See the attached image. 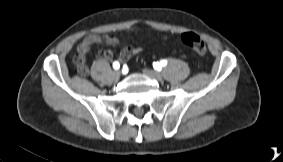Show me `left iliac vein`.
<instances>
[{
	"instance_id": "obj_1",
	"label": "left iliac vein",
	"mask_w": 283,
	"mask_h": 162,
	"mask_svg": "<svg viewBox=\"0 0 283 162\" xmlns=\"http://www.w3.org/2000/svg\"><path fill=\"white\" fill-rule=\"evenodd\" d=\"M143 73L145 75H147L148 77L156 80V81H162V79H163L162 75L159 72L155 71V70L144 69Z\"/></svg>"
}]
</instances>
